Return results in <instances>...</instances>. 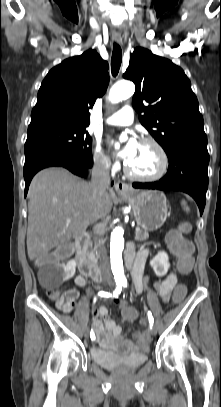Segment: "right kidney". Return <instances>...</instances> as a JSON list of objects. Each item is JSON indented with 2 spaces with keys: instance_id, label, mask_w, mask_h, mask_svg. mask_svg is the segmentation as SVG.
<instances>
[{
  "instance_id": "1",
  "label": "right kidney",
  "mask_w": 221,
  "mask_h": 407,
  "mask_svg": "<svg viewBox=\"0 0 221 407\" xmlns=\"http://www.w3.org/2000/svg\"><path fill=\"white\" fill-rule=\"evenodd\" d=\"M76 261L70 260L67 264H58L56 273L61 281H66L72 278L76 270Z\"/></svg>"
}]
</instances>
